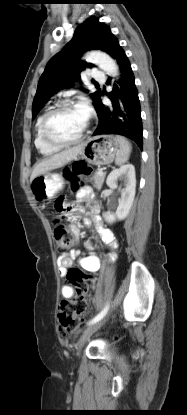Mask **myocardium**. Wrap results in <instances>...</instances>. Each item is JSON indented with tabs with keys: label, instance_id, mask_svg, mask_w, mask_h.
<instances>
[{
	"label": "myocardium",
	"instance_id": "myocardium-1",
	"mask_svg": "<svg viewBox=\"0 0 187 415\" xmlns=\"http://www.w3.org/2000/svg\"><path fill=\"white\" fill-rule=\"evenodd\" d=\"M69 107H74L73 103L71 101H68V100H63V101H60V102L56 103L49 111L46 112V114H45V116L42 120V124H41V135H42L44 141L46 143H48L49 145H52V146H55V147H60V148L68 147V146L79 143L85 137V135L88 131V128H89L88 119L86 121V125H85L84 129L82 130V132L77 137H75L74 139L62 140V139H58V138L54 137L50 133L49 125H50V121L53 118V116L55 114H57L59 111H61L62 109L69 108Z\"/></svg>",
	"mask_w": 187,
	"mask_h": 415
}]
</instances>
